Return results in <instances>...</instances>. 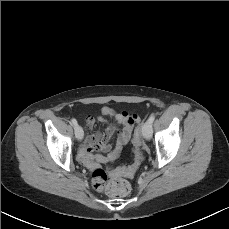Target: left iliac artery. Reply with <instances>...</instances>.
<instances>
[{
  "label": "left iliac artery",
  "mask_w": 229,
  "mask_h": 229,
  "mask_svg": "<svg viewBox=\"0 0 229 229\" xmlns=\"http://www.w3.org/2000/svg\"><path fill=\"white\" fill-rule=\"evenodd\" d=\"M154 120H155V115L154 114H151V116L149 117L148 121L150 123H153Z\"/></svg>",
  "instance_id": "obj_1"
}]
</instances>
